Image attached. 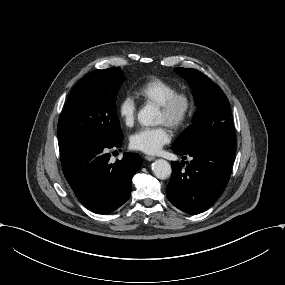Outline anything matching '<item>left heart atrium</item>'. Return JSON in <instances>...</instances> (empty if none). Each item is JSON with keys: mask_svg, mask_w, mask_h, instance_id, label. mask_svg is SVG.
I'll return each instance as SVG.
<instances>
[{"mask_svg": "<svg viewBox=\"0 0 285 285\" xmlns=\"http://www.w3.org/2000/svg\"><path fill=\"white\" fill-rule=\"evenodd\" d=\"M170 140V131L165 123L154 128H144L131 136L132 147L145 153H155Z\"/></svg>", "mask_w": 285, "mask_h": 285, "instance_id": "1", "label": "left heart atrium"}]
</instances>
